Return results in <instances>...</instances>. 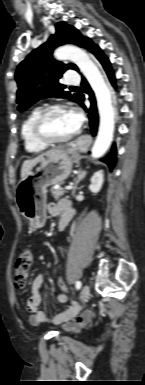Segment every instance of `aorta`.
Masks as SVG:
<instances>
[{
	"label": "aorta",
	"instance_id": "1",
	"mask_svg": "<svg viewBox=\"0 0 145 385\" xmlns=\"http://www.w3.org/2000/svg\"><path fill=\"white\" fill-rule=\"evenodd\" d=\"M54 57L58 60L69 59L73 61L84 74L95 93L100 125L91 155L93 158H100L108 150L113 140L115 121L110 90L97 66L88 54L79 47L73 45L59 47L55 50Z\"/></svg>",
	"mask_w": 145,
	"mask_h": 385
}]
</instances>
